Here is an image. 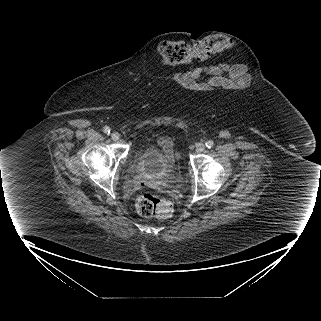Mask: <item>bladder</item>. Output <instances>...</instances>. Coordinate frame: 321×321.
Listing matches in <instances>:
<instances>
[{
    "label": "bladder",
    "instance_id": "bladder-1",
    "mask_svg": "<svg viewBox=\"0 0 321 321\" xmlns=\"http://www.w3.org/2000/svg\"><path fill=\"white\" fill-rule=\"evenodd\" d=\"M178 165L172 163L165 154L155 146H147L137 156L133 174L143 179L154 181L169 174Z\"/></svg>",
    "mask_w": 321,
    "mask_h": 321
}]
</instances>
